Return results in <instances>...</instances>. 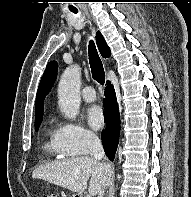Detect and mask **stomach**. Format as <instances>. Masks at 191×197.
<instances>
[{"instance_id": "1", "label": "stomach", "mask_w": 191, "mask_h": 197, "mask_svg": "<svg viewBox=\"0 0 191 197\" xmlns=\"http://www.w3.org/2000/svg\"><path fill=\"white\" fill-rule=\"evenodd\" d=\"M73 197H81V195H79V194H75Z\"/></svg>"}]
</instances>
